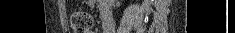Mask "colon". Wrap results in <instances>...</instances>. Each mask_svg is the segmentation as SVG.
<instances>
[{
    "label": "colon",
    "instance_id": "1",
    "mask_svg": "<svg viewBox=\"0 0 235 33\" xmlns=\"http://www.w3.org/2000/svg\"><path fill=\"white\" fill-rule=\"evenodd\" d=\"M70 26L74 33H89L92 27V18L84 11H74L70 15Z\"/></svg>",
    "mask_w": 235,
    "mask_h": 33
}]
</instances>
